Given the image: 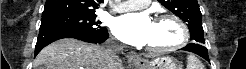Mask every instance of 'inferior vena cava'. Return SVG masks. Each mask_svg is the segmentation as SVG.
<instances>
[{"label":"inferior vena cava","mask_w":246,"mask_h":69,"mask_svg":"<svg viewBox=\"0 0 246 69\" xmlns=\"http://www.w3.org/2000/svg\"><path fill=\"white\" fill-rule=\"evenodd\" d=\"M107 48L112 52V58L117 60V52L121 51L122 47L113 42H109Z\"/></svg>","instance_id":"602c4592"}]
</instances>
